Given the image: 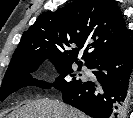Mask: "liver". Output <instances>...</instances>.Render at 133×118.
<instances>
[{
	"mask_svg": "<svg viewBox=\"0 0 133 118\" xmlns=\"http://www.w3.org/2000/svg\"><path fill=\"white\" fill-rule=\"evenodd\" d=\"M8 118H88L81 111L58 100L39 99L8 115Z\"/></svg>",
	"mask_w": 133,
	"mask_h": 118,
	"instance_id": "1",
	"label": "liver"
}]
</instances>
